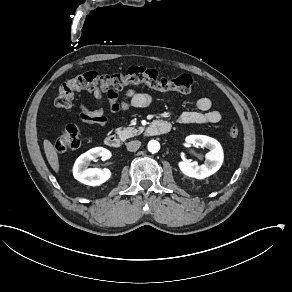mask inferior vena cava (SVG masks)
<instances>
[{
  "instance_id": "602c4592",
  "label": "inferior vena cava",
  "mask_w": 292,
  "mask_h": 292,
  "mask_svg": "<svg viewBox=\"0 0 292 292\" xmlns=\"http://www.w3.org/2000/svg\"><path fill=\"white\" fill-rule=\"evenodd\" d=\"M141 146V142L138 140H134V141H130L127 144V150L130 152H135L139 149V147Z\"/></svg>"
}]
</instances>
